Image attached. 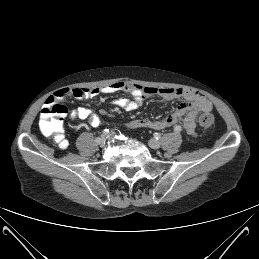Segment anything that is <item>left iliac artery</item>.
Returning a JSON list of instances; mask_svg holds the SVG:
<instances>
[{
    "mask_svg": "<svg viewBox=\"0 0 259 259\" xmlns=\"http://www.w3.org/2000/svg\"><path fill=\"white\" fill-rule=\"evenodd\" d=\"M174 131L175 132H180L181 131V127L180 126H175L174 127Z\"/></svg>",
    "mask_w": 259,
    "mask_h": 259,
    "instance_id": "obj_1",
    "label": "left iliac artery"
}]
</instances>
